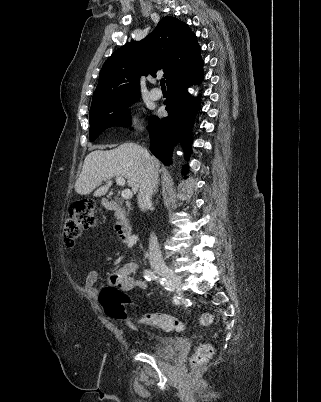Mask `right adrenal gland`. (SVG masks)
<instances>
[{
	"instance_id": "2a0ac1e0",
	"label": "right adrenal gland",
	"mask_w": 321,
	"mask_h": 402,
	"mask_svg": "<svg viewBox=\"0 0 321 402\" xmlns=\"http://www.w3.org/2000/svg\"><path fill=\"white\" fill-rule=\"evenodd\" d=\"M158 185H159V181L156 183V186H155V188H154V194H156L157 191H158Z\"/></svg>"
}]
</instances>
